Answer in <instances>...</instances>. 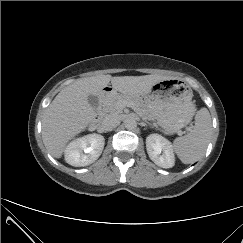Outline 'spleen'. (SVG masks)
<instances>
[{
    "instance_id": "obj_1",
    "label": "spleen",
    "mask_w": 243,
    "mask_h": 243,
    "mask_svg": "<svg viewBox=\"0 0 243 243\" xmlns=\"http://www.w3.org/2000/svg\"><path fill=\"white\" fill-rule=\"evenodd\" d=\"M211 133L210 113L207 108H201L195 115V123L190 133L173 142V149L182 163L196 162L205 154Z\"/></svg>"
}]
</instances>
